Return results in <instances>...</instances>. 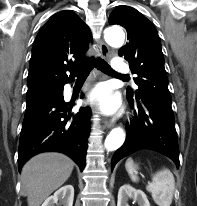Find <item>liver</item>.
<instances>
[{"instance_id":"1","label":"liver","mask_w":197,"mask_h":206,"mask_svg":"<svg viewBox=\"0 0 197 206\" xmlns=\"http://www.w3.org/2000/svg\"><path fill=\"white\" fill-rule=\"evenodd\" d=\"M73 161L60 153H42L31 158L22 168L21 183L28 206H40L62 186L73 171Z\"/></svg>"}]
</instances>
